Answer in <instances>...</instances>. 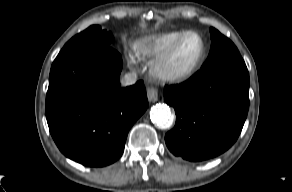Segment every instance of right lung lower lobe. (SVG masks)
<instances>
[{
  "label": "right lung lower lobe",
  "instance_id": "1",
  "mask_svg": "<svg viewBox=\"0 0 292 192\" xmlns=\"http://www.w3.org/2000/svg\"><path fill=\"white\" fill-rule=\"evenodd\" d=\"M122 57L112 47L61 50L46 95L50 133L68 158L102 167L124 151L131 126L148 107L142 81L121 88Z\"/></svg>",
  "mask_w": 292,
  "mask_h": 192
}]
</instances>
